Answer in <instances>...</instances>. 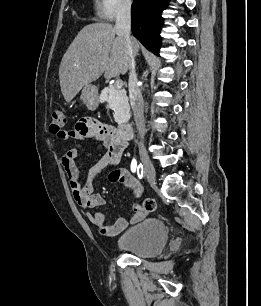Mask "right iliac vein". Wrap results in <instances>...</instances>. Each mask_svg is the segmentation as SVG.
<instances>
[{"label":"right iliac vein","mask_w":261,"mask_h":306,"mask_svg":"<svg viewBox=\"0 0 261 306\" xmlns=\"http://www.w3.org/2000/svg\"><path fill=\"white\" fill-rule=\"evenodd\" d=\"M139 154L144 166L145 175L148 181L153 183L156 177L155 169L142 143L139 144Z\"/></svg>","instance_id":"right-iliac-vein-1"}]
</instances>
